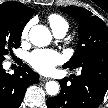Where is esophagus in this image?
Returning a JSON list of instances; mask_svg holds the SVG:
<instances>
[{
  "mask_svg": "<svg viewBox=\"0 0 108 108\" xmlns=\"http://www.w3.org/2000/svg\"><path fill=\"white\" fill-rule=\"evenodd\" d=\"M48 80H49V78H47V77H43V76L40 77V81H42V82H46Z\"/></svg>",
  "mask_w": 108,
  "mask_h": 108,
  "instance_id": "esophagus-1",
  "label": "esophagus"
}]
</instances>
